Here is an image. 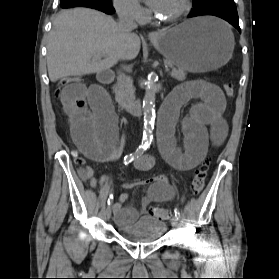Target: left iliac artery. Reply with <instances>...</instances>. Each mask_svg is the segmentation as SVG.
<instances>
[{"mask_svg":"<svg viewBox=\"0 0 279 279\" xmlns=\"http://www.w3.org/2000/svg\"><path fill=\"white\" fill-rule=\"evenodd\" d=\"M174 213H175V217L179 220L181 215H180V212L177 208H175Z\"/></svg>","mask_w":279,"mask_h":279,"instance_id":"left-iliac-artery-1","label":"left iliac artery"}]
</instances>
